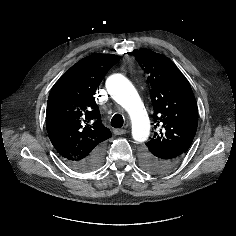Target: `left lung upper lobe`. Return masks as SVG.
Returning a JSON list of instances; mask_svg holds the SVG:
<instances>
[{
    "label": "left lung upper lobe",
    "mask_w": 236,
    "mask_h": 236,
    "mask_svg": "<svg viewBox=\"0 0 236 236\" xmlns=\"http://www.w3.org/2000/svg\"><path fill=\"white\" fill-rule=\"evenodd\" d=\"M134 55L149 75L156 130L146 143L141 164L155 172L160 155L188 151L198 125L197 102L189 82L169 58L149 49L135 50Z\"/></svg>",
    "instance_id": "5c2ea615"
}]
</instances>
